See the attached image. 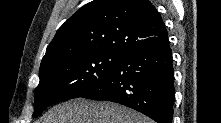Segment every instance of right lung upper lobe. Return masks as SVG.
Listing matches in <instances>:
<instances>
[{
  "label": "right lung upper lobe",
  "mask_w": 221,
  "mask_h": 123,
  "mask_svg": "<svg viewBox=\"0 0 221 123\" xmlns=\"http://www.w3.org/2000/svg\"><path fill=\"white\" fill-rule=\"evenodd\" d=\"M167 41L165 24L150 1L94 0L58 29L41 65L83 51L106 49L128 54Z\"/></svg>",
  "instance_id": "right-lung-upper-lobe-1"
}]
</instances>
